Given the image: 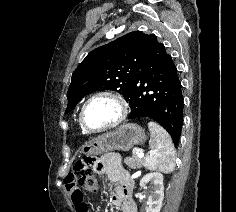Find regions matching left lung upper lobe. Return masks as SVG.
I'll return each instance as SVG.
<instances>
[{
  "instance_id": "5c2ea615",
  "label": "left lung upper lobe",
  "mask_w": 236,
  "mask_h": 212,
  "mask_svg": "<svg viewBox=\"0 0 236 212\" xmlns=\"http://www.w3.org/2000/svg\"><path fill=\"white\" fill-rule=\"evenodd\" d=\"M150 37L141 31L130 32L91 51L72 74L65 114L94 91H117L127 99Z\"/></svg>"
}]
</instances>
